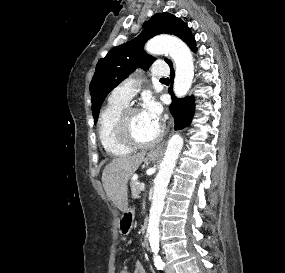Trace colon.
<instances>
[{
	"label": "colon",
	"instance_id": "1",
	"mask_svg": "<svg viewBox=\"0 0 285 273\" xmlns=\"http://www.w3.org/2000/svg\"><path fill=\"white\" fill-rule=\"evenodd\" d=\"M119 273H125V268L120 269Z\"/></svg>",
	"mask_w": 285,
	"mask_h": 273
}]
</instances>
